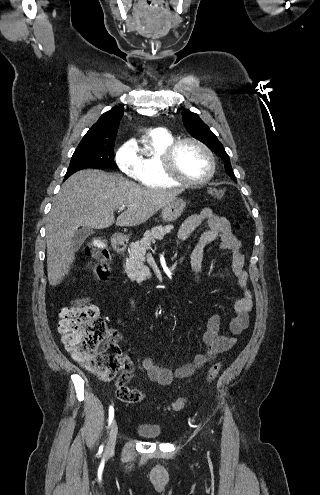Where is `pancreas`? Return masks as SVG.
<instances>
[{"label": "pancreas", "mask_w": 320, "mask_h": 495, "mask_svg": "<svg viewBox=\"0 0 320 495\" xmlns=\"http://www.w3.org/2000/svg\"><path fill=\"white\" fill-rule=\"evenodd\" d=\"M173 225L164 227L158 226L144 233V237L140 241H135L130 244L129 258L126 259L124 265L125 273L131 281H141L140 272L146 269L143 264L146 251L150 249L151 244L156 240H162L167 233L173 229Z\"/></svg>", "instance_id": "obj_1"}]
</instances>
